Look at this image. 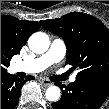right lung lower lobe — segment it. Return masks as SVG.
Segmentation results:
<instances>
[{"label":"right lung lower lobe","mask_w":109,"mask_h":109,"mask_svg":"<svg viewBox=\"0 0 109 109\" xmlns=\"http://www.w3.org/2000/svg\"><path fill=\"white\" fill-rule=\"evenodd\" d=\"M28 79L34 78L28 76L26 79H21L8 73L1 74V109H13L16 107L21 87Z\"/></svg>","instance_id":"obj_1"}]
</instances>
